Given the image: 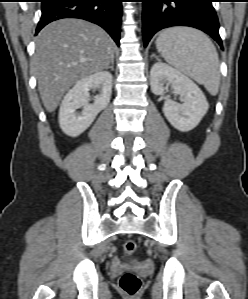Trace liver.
I'll return each mask as SVG.
<instances>
[{
	"mask_svg": "<svg viewBox=\"0 0 248 299\" xmlns=\"http://www.w3.org/2000/svg\"><path fill=\"white\" fill-rule=\"evenodd\" d=\"M113 47L101 27L81 19H61L42 29L33 66L46 110L53 112L79 80L109 67Z\"/></svg>",
	"mask_w": 248,
	"mask_h": 299,
	"instance_id": "obj_1",
	"label": "liver"
}]
</instances>
